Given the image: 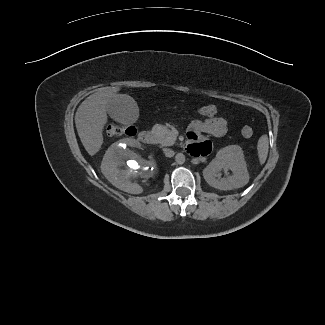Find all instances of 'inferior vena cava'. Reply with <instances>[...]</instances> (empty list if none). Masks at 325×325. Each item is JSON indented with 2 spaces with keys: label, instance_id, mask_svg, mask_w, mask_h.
I'll list each match as a JSON object with an SVG mask.
<instances>
[{
  "label": "inferior vena cava",
  "instance_id": "obj_1",
  "mask_svg": "<svg viewBox=\"0 0 325 325\" xmlns=\"http://www.w3.org/2000/svg\"><path fill=\"white\" fill-rule=\"evenodd\" d=\"M163 152L166 157H173L175 155L174 151L169 148H164Z\"/></svg>",
  "mask_w": 325,
  "mask_h": 325
}]
</instances>
